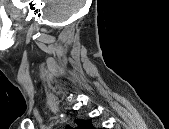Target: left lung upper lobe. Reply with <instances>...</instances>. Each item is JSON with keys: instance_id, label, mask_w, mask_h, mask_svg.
<instances>
[{"instance_id": "1", "label": "left lung upper lobe", "mask_w": 169, "mask_h": 129, "mask_svg": "<svg viewBox=\"0 0 169 129\" xmlns=\"http://www.w3.org/2000/svg\"><path fill=\"white\" fill-rule=\"evenodd\" d=\"M75 122L79 125V128H82V129H94V127L92 126L90 120L77 119V120H75ZM67 128L69 129L70 127H67Z\"/></svg>"}]
</instances>
